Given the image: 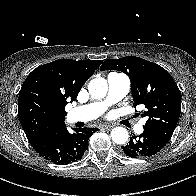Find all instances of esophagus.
Here are the masks:
<instances>
[{
	"label": "esophagus",
	"mask_w": 196,
	"mask_h": 196,
	"mask_svg": "<svg viewBox=\"0 0 196 196\" xmlns=\"http://www.w3.org/2000/svg\"><path fill=\"white\" fill-rule=\"evenodd\" d=\"M102 128L109 130V129L113 128V125H103Z\"/></svg>",
	"instance_id": "34e87169"
}]
</instances>
